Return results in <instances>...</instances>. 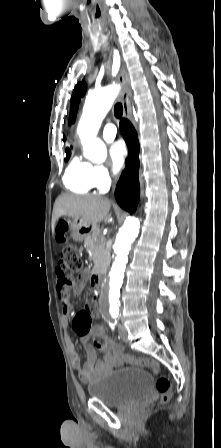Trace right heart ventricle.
Wrapping results in <instances>:
<instances>
[{"label":"right heart ventricle","instance_id":"1","mask_svg":"<svg viewBox=\"0 0 221 448\" xmlns=\"http://www.w3.org/2000/svg\"><path fill=\"white\" fill-rule=\"evenodd\" d=\"M63 182L76 193H90L96 186L92 179V165L75 157L66 169Z\"/></svg>","mask_w":221,"mask_h":448}]
</instances>
